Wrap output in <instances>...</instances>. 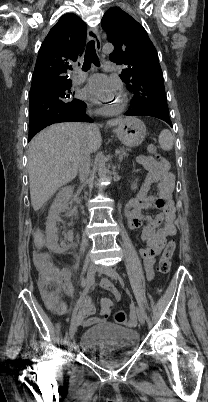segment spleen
<instances>
[{"instance_id":"spleen-1","label":"spleen","mask_w":208,"mask_h":402,"mask_svg":"<svg viewBox=\"0 0 208 402\" xmlns=\"http://www.w3.org/2000/svg\"><path fill=\"white\" fill-rule=\"evenodd\" d=\"M159 144L162 150H172L173 148V136L170 130H162L159 134Z\"/></svg>"}]
</instances>
